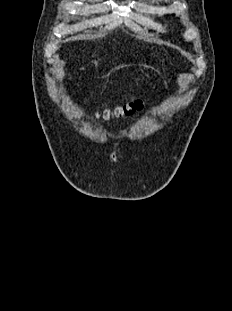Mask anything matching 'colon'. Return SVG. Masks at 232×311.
Masks as SVG:
<instances>
[{"instance_id": "obj_1", "label": "colon", "mask_w": 232, "mask_h": 311, "mask_svg": "<svg viewBox=\"0 0 232 311\" xmlns=\"http://www.w3.org/2000/svg\"><path fill=\"white\" fill-rule=\"evenodd\" d=\"M142 102L140 100L131 101L122 105L117 106L112 113L115 116H125L135 113L136 111L142 109ZM110 111L101 112V116L108 118L110 116Z\"/></svg>"}]
</instances>
